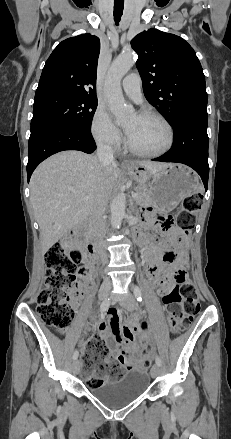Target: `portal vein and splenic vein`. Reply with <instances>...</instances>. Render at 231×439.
I'll return each mask as SVG.
<instances>
[{
    "mask_svg": "<svg viewBox=\"0 0 231 439\" xmlns=\"http://www.w3.org/2000/svg\"><path fill=\"white\" fill-rule=\"evenodd\" d=\"M132 197H133V198H137V197H138V194L135 193V194L132 195Z\"/></svg>",
    "mask_w": 231,
    "mask_h": 439,
    "instance_id": "18ae733b",
    "label": "portal vein and splenic vein"
}]
</instances>
